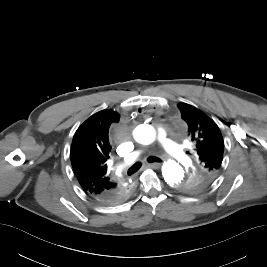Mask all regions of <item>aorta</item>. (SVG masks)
I'll use <instances>...</instances> for the list:
<instances>
[{"instance_id": "obj_1", "label": "aorta", "mask_w": 267, "mask_h": 267, "mask_svg": "<svg viewBox=\"0 0 267 267\" xmlns=\"http://www.w3.org/2000/svg\"><path fill=\"white\" fill-rule=\"evenodd\" d=\"M133 136L137 142L149 145L155 140L156 132L152 126L141 124L134 129ZM162 175L167 184L178 187L184 178V170L179 163L168 161L162 166Z\"/></svg>"}]
</instances>
